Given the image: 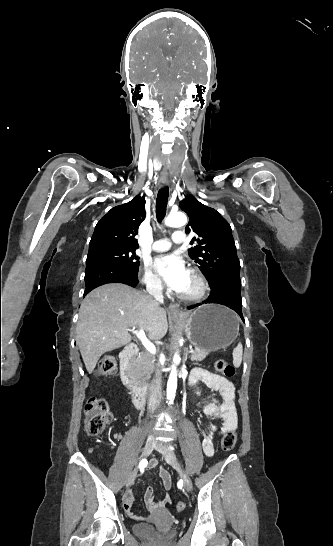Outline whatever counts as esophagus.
Returning <instances> with one entry per match:
<instances>
[{
	"label": "esophagus",
	"mask_w": 333,
	"mask_h": 546,
	"mask_svg": "<svg viewBox=\"0 0 333 546\" xmlns=\"http://www.w3.org/2000/svg\"><path fill=\"white\" fill-rule=\"evenodd\" d=\"M168 183H169L168 176L166 174H162L160 176L159 183H158L159 188L165 187L166 185H168ZM169 313L172 316H180L182 314L180 306L178 304H172V303L169 305Z\"/></svg>",
	"instance_id": "esophagus-1"
}]
</instances>
